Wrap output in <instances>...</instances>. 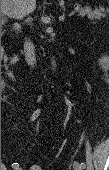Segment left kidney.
<instances>
[{
  "instance_id": "obj_1",
  "label": "left kidney",
  "mask_w": 109,
  "mask_h": 170,
  "mask_svg": "<svg viewBox=\"0 0 109 170\" xmlns=\"http://www.w3.org/2000/svg\"><path fill=\"white\" fill-rule=\"evenodd\" d=\"M108 63L109 59L107 55L102 56L101 59L99 60V64L102 66L103 70H107Z\"/></svg>"
}]
</instances>
